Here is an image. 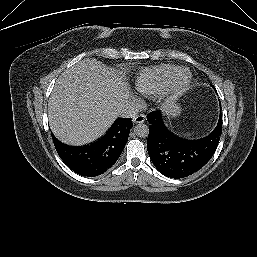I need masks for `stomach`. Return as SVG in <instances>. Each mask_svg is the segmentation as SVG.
I'll use <instances>...</instances> for the list:
<instances>
[{
  "mask_svg": "<svg viewBox=\"0 0 257 257\" xmlns=\"http://www.w3.org/2000/svg\"><path fill=\"white\" fill-rule=\"evenodd\" d=\"M162 110L167 114V116L175 117L180 114V106L173 100H168Z\"/></svg>",
  "mask_w": 257,
  "mask_h": 257,
  "instance_id": "stomach-1",
  "label": "stomach"
}]
</instances>
